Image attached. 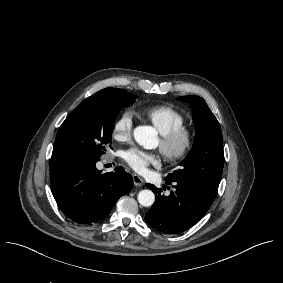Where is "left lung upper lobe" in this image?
<instances>
[{
  "instance_id": "left-lung-upper-lobe-1",
  "label": "left lung upper lobe",
  "mask_w": 283,
  "mask_h": 283,
  "mask_svg": "<svg viewBox=\"0 0 283 283\" xmlns=\"http://www.w3.org/2000/svg\"><path fill=\"white\" fill-rule=\"evenodd\" d=\"M178 99L192 105L196 134L193 147L181 162L180 169L169 174L166 180L188 184L214 200L224 164L221 127L203 98L190 95Z\"/></svg>"
}]
</instances>
